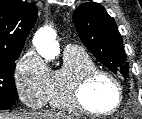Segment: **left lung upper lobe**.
<instances>
[{"label":"left lung upper lobe","mask_w":142,"mask_h":119,"mask_svg":"<svg viewBox=\"0 0 142 119\" xmlns=\"http://www.w3.org/2000/svg\"><path fill=\"white\" fill-rule=\"evenodd\" d=\"M73 22L79 37L87 49L108 69L128 77L129 64L116 23L98 3L78 6Z\"/></svg>","instance_id":"5c2ea615"}]
</instances>
